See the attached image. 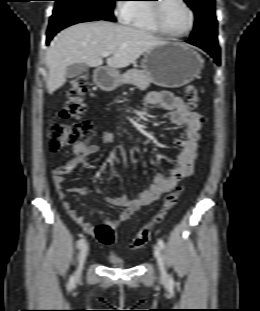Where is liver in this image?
I'll return each mask as SVG.
<instances>
[{"mask_svg": "<svg viewBox=\"0 0 260 311\" xmlns=\"http://www.w3.org/2000/svg\"><path fill=\"white\" fill-rule=\"evenodd\" d=\"M166 42L147 31L108 21L79 23L61 31L46 52L49 69L48 93L66 82V69L76 63L90 67L103 64L101 54L110 52L107 67L111 70L124 68L142 54Z\"/></svg>", "mask_w": 260, "mask_h": 311, "instance_id": "liver-1", "label": "liver"}]
</instances>
